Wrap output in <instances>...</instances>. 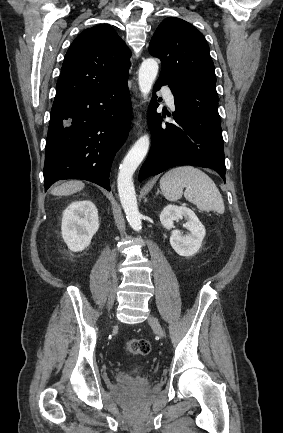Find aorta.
Returning <instances> with one entry per match:
<instances>
[{"mask_svg": "<svg viewBox=\"0 0 283 433\" xmlns=\"http://www.w3.org/2000/svg\"><path fill=\"white\" fill-rule=\"evenodd\" d=\"M158 63L152 58L144 60L139 68L138 84L142 96L146 99L158 74ZM150 145L148 134L141 136L125 156L118 173L117 187L120 201L130 226L135 231L141 230V215L138 210L133 174L145 158Z\"/></svg>", "mask_w": 283, "mask_h": 433, "instance_id": "obj_1", "label": "aorta"}]
</instances>
